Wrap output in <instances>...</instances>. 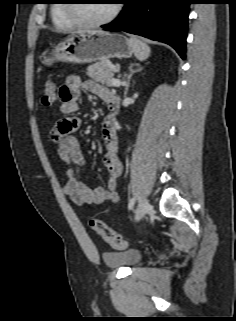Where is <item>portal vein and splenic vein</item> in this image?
<instances>
[{"mask_svg":"<svg viewBox=\"0 0 236 321\" xmlns=\"http://www.w3.org/2000/svg\"><path fill=\"white\" fill-rule=\"evenodd\" d=\"M112 83L116 87H118L120 85H124V83H121L118 79H115V78H112Z\"/></svg>","mask_w":236,"mask_h":321,"instance_id":"18ae733b","label":"portal vein and splenic vein"}]
</instances>
